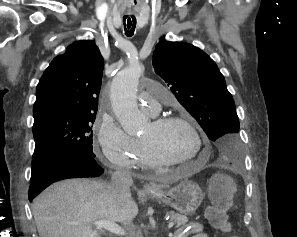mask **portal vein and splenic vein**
Returning <instances> with one entry per match:
<instances>
[{"label": "portal vein and splenic vein", "instance_id": "18ae733b", "mask_svg": "<svg viewBox=\"0 0 297 237\" xmlns=\"http://www.w3.org/2000/svg\"><path fill=\"white\" fill-rule=\"evenodd\" d=\"M98 229H105L113 234L119 235V236H124L125 235V231L115 222H111V221H106V220H99V221H95L93 223ZM174 222L171 221L168 223V228H172L174 226Z\"/></svg>", "mask_w": 297, "mask_h": 237}]
</instances>
